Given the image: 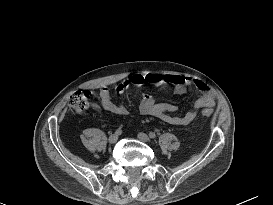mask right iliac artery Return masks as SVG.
<instances>
[{"label": "right iliac artery", "mask_w": 273, "mask_h": 205, "mask_svg": "<svg viewBox=\"0 0 273 205\" xmlns=\"http://www.w3.org/2000/svg\"><path fill=\"white\" fill-rule=\"evenodd\" d=\"M116 134L120 135L122 133V129L121 128H118L116 131H115Z\"/></svg>", "instance_id": "obj_1"}]
</instances>
